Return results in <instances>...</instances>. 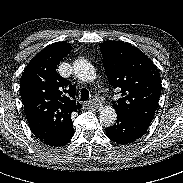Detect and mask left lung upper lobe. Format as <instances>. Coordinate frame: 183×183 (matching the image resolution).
<instances>
[{
    "label": "left lung upper lobe",
    "mask_w": 183,
    "mask_h": 183,
    "mask_svg": "<svg viewBox=\"0 0 183 183\" xmlns=\"http://www.w3.org/2000/svg\"><path fill=\"white\" fill-rule=\"evenodd\" d=\"M110 84L122 94L113 102L116 113L151 123L161 93L159 71L137 47L120 41L99 44Z\"/></svg>",
    "instance_id": "5c2ea615"
}]
</instances>
